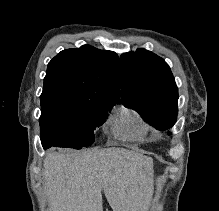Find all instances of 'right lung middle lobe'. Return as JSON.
<instances>
[{
	"label": "right lung middle lobe",
	"mask_w": 219,
	"mask_h": 211,
	"mask_svg": "<svg viewBox=\"0 0 219 211\" xmlns=\"http://www.w3.org/2000/svg\"><path fill=\"white\" fill-rule=\"evenodd\" d=\"M40 101L42 144L74 149L94 142L93 131L104 123L108 111L115 105L57 95L40 97Z\"/></svg>",
	"instance_id": "obj_1"
}]
</instances>
